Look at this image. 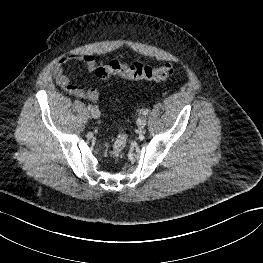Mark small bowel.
<instances>
[{
	"instance_id": "obj_1",
	"label": "small bowel",
	"mask_w": 263,
	"mask_h": 263,
	"mask_svg": "<svg viewBox=\"0 0 263 263\" xmlns=\"http://www.w3.org/2000/svg\"><path fill=\"white\" fill-rule=\"evenodd\" d=\"M82 63L86 68L93 72L98 67L96 58L91 54H80L67 56L58 61L53 69V75L56 83L70 95L86 99L89 101H97L99 98V92L95 88L85 89L71 82L70 78L66 74V68L75 64Z\"/></svg>"
}]
</instances>
